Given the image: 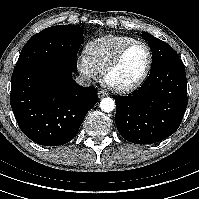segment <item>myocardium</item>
I'll return each mask as SVG.
<instances>
[{
    "instance_id": "f54148a6",
    "label": "myocardium",
    "mask_w": 199,
    "mask_h": 199,
    "mask_svg": "<svg viewBox=\"0 0 199 199\" xmlns=\"http://www.w3.org/2000/svg\"><path fill=\"white\" fill-rule=\"evenodd\" d=\"M136 45H141L146 49L147 52V62L145 65L144 70L142 71V73L139 75V77L134 80L131 83L128 84H124V85H114L112 83L109 82L108 78L109 75L120 65V63L122 62L125 54L134 46ZM152 66V51L150 49V47L143 41H133L129 44H127L126 46H124L116 55L115 57L110 61V63L104 68L103 70V81L104 83L113 91L116 92H130L133 91L135 89H137L147 78L150 69Z\"/></svg>"
}]
</instances>
